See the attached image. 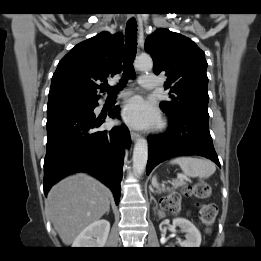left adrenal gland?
<instances>
[{"label": "left adrenal gland", "mask_w": 261, "mask_h": 261, "mask_svg": "<svg viewBox=\"0 0 261 261\" xmlns=\"http://www.w3.org/2000/svg\"><path fill=\"white\" fill-rule=\"evenodd\" d=\"M150 200H153L154 203L156 204V207H155V208H158L157 201L155 200V198L153 197V195L151 194V192H150Z\"/></svg>", "instance_id": "left-adrenal-gland-1"}]
</instances>
